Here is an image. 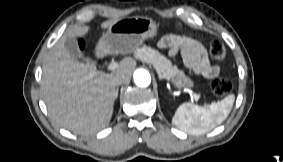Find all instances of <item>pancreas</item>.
<instances>
[{
    "label": "pancreas",
    "instance_id": "pancreas-1",
    "mask_svg": "<svg viewBox=\"0 0 283 162\" xmlns=\"http://www.w3.org/2000/svg\"><path fill=\"white\" fill-rule=\"evenodd\" d=\"M135 57L143 62L152 64L158 72L160 78L173 79L176 75L182 74L170 60L161 55L157 50L143 46L135 51Z\"/></svg>",
    "mask_w": 283,
    "mask_h": 162
}]
</instances>
